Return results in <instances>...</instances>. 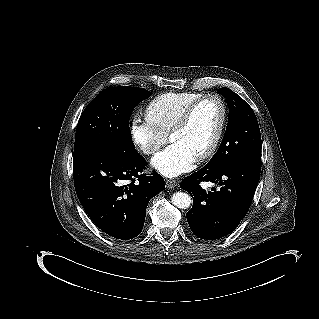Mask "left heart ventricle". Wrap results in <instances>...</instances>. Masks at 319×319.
I'll return each mask as SVG.
<instances>
[{
	"label": "left heart ventricle",
	"instance_id": "obj_1",
	"mask_svg": "<svg viewBox=\"0 0 319 319\" xmlns=\"http://www.w3.org/2000/svg\"><path fill=\"white\" fill-rule=\"evenodd\" d=\"M217 116L216 104L212 102L203 104L194 112L178 139L187 143L195 151L201 150L208 144L213 135Z\"/></svg>",
	"mask_w": 319,
	"mask_h": 319
}]
</instances>
